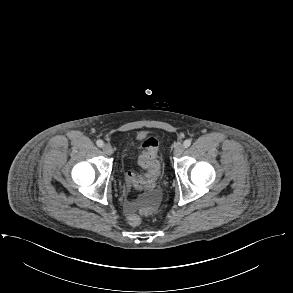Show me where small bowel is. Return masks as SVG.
Here are the masks:
<instances>
[{
	"label": "small bowel",
	"mask_w": 293,
	"mask_h": 293,
	"mask_svg": "<svg viewBox=\"0 0 293 293\" xmlns=\"http://www.w3.org/2000/svg\"><path fill=\"white\" fill-rule=\"evenodd\" d=\"M129 185L134 186L136 188L145 187L142 182H137V183H134V184L129 183ZM136 206H137V203L134 200L126 199L125 202H124V209H125L126 214L128 216L131 215V214H134L135 210H136Z\"/></svg>",
	"instance_id": "obj_1"
}]
</instances>
